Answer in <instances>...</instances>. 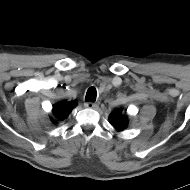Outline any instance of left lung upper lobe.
Segmentation results:
<instances>
[{"label": "left lung upper lobe", "mask_w": 190, "mask_h": 190, "mask_svg": "<svg viewBox=\"0 0 190 190\" xmlns=\"http://www.w3.org/2000/svg\"><path fill=\"white\" fill-rule=\"evenodd\" d=\"M109 120L111 125L118 131H122L128 126L127 117L123 114L121 109L114 110L110 114Z\"/></svg>", "instance_id": "1"}]
</instances>
